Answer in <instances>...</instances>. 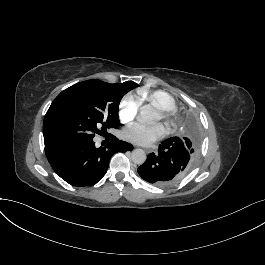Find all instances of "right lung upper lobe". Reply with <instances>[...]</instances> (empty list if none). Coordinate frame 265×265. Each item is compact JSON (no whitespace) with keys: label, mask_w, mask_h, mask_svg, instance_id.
Listing matches in <instances>:
<instances>
[{"label":"right lung upper lobe","mask_w":265,"mask_h":265,"mask_svg":"<svg viewBox=\"0 0 265 265\" xmlns=\"http://www.w3.org/2000/svg\"><path fill=\"white\" fill-rule=\"evenodd\" d=\"M128 83H130V84H135L134 82H132V81H127Z\"/></svg>","instance_id":"cb5924a9"}]
</instances>
